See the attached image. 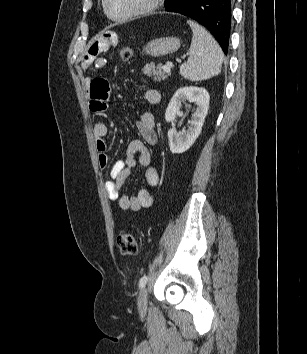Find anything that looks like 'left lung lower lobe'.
Masks as SVG:
<instances>
[{"instance_id": "1", "label": "left lung lower lobe", "mask_w": 307, "mask_h": 354, "mask_svg": "<svg viewBox=\"0 0 307 354\" xmlns=\"http://www.w3.org/2000/svg\"><path fill=\"white\" fill-rule=\"evenodd\" d=\"M165 10L188 16L205 26L227 54L231 29V0H171Z\"/></svg>"}]
</instances>
